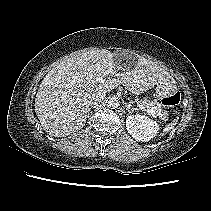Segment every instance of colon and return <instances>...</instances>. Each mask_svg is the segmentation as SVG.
<instances>
[{
	"label": "colon",
	"instance_id": "5ec220e1",
	"mask_svg": "<svg viewBox=\"0 0 211 211\" xmlns=\"http://www.w3.org/2000/svg\"><path fill=\"white\" fill-rule=\"evenodd\" d=\"M180 102V94L178 92L166 96L162 99V105L164 107H172L174 105H177Z\"/></svg>",
	"mask_w": 211,
	"mask_h": 211
}]
</instances>
